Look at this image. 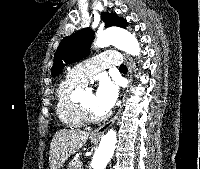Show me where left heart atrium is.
<instances>
[{"instance_id":"39dd6f15","label":"left heart atrium","mask_w":200,"mask_h":169,"mask_svg":"<svg viewBox=\"0 0 200 169\" xmlns=\"http://www.w3.org/2000/svg\"><path fill=\"white\" fill-rule=\"evenodd\" d=\"M98 109L103 115L108 114L118 98V87L111 80H103L95 93Z\"/></svg>"}]
</instances>
